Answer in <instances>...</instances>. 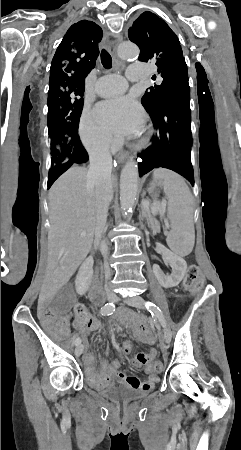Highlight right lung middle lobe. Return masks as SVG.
Instances as JSON below:
<instances>
[{
	"label": "right lung middle lobe",
	"mask_w": 241,
	"mask_h": 450,
	"mask_svg": "<svg viewBox=\"0 0 241 450\" xmlns=\"http://www.w3.org/2000/svg\"><path fill=\"white\" fill-rule=\"evenodd\" d=\"M84 90L63 87L48 95V133L52 167L67 162L71 148L63 130L77 128L83 109Z\"/></svg>",
	"instance_id": "obj_1"
}]
</instances>
